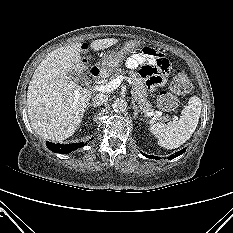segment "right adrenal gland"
<instances>
[{"mask_svg":"<svg viewBox=\"0 0 233 233\" xmlns=\"http://www.w3.org/2000/svg\"><path fill=\"white\" fill-rule=\"evenodd\" d=\"M90 106H92V107H94V108H97V107H98V105H96V104H94V103L92 102V103H88V104H87V108H86V109L88 110Z\"/></svg>","mask_w":233,"mask_h":233,"instance_id":"right-adrenal-gland-1","label":"right adrenal gland"}]
</instances>
